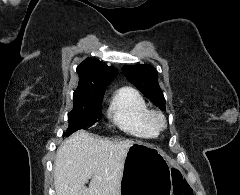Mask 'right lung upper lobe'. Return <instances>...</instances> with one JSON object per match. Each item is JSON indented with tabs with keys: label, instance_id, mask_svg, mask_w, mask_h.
Here are the masks:
<instances>
[{
	"label": "right lung upper lobe",
	"instance_id": "1",
	"mask_svg": "<svg viewBox=\"0 0 240 195\" xmlns=\"http://www.w3.org/2000/svg\"><path fill=\"white\" fill-rule=\"evenodd\" d=\"M79 83L73 100L80 98H103L105 88L114 80L117 71L96 58L84 60L77 67Z\"/></svg>",
	"mask_w": 240,
	"mask_h": 195
}]
</instances>
